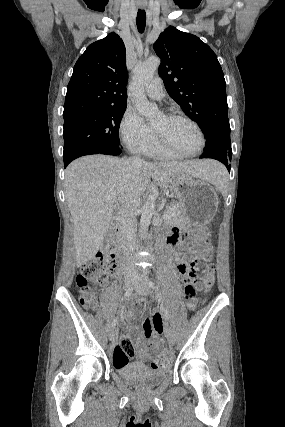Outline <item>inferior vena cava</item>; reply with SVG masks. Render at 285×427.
I'll return each instance as SVG.
<instances>
[{"label": "inferior vena cava", "mask_w": 285, "mask_h": 427, "mask_svg": "<svg viewBox=\"0 0 285 427\" xmlns=\"http://www.w3.org/2000/svg\"><path fill=\"white\" fill-rule=\"evenodd\" d=\"M129 162L143 164L144 161L138 157H131ZM135 206L129 202L122 204L119 210L120 231L122 236V245L128 257H131L136 248V217L134 214ZM127 272L136 274L138 272L134 262L129 258L127 262Z\"/></svg>", "instance_id": "obj_1"}]
</instances>
